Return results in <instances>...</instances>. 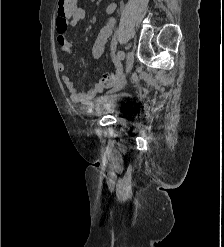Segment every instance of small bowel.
<instances>
[{
  "mask_svg": "<svg viewBox=\"0 0 224 247\" xmlns=\"http://www.w3.org/2000/svg\"><path fill=\"white\" fill-rule=\"evenodd\" d=\"M115 9L116 5L114 3H111L107 7L106 11L109 15H112ZM86 14L87 12L85 8L78 7L70 20V26H76L79 22L85 19ZM115 23V17H110L107 23L98 32L91 49L93 58L98 59L103 54L105 45L113 32ZM56 42L62 53L70 54L72 52V45L70 41L66 38L65 31L57 30ZM58 70L60 72H64L66 70V65L63 62H60L58 64ZM62 81L65 88L69 92L71 99L75 102L87 101L96 96L97 94L101 93L104 88L101 84H95L86 90L78 91L75 88L72 79L68 75H63Z\"/></svg>",
  "mask_w": 224,
  "mask_h": 247,
  "instance_id": "1",
  "label": "small bowel"
}]
</instances>
